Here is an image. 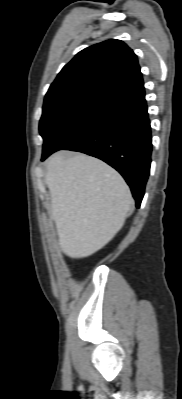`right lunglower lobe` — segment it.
<instances>
[{"label":"right lung lower lobe","instance_id":"obj_1","mask_svg":"<svg viewBox=\"0 0 182 399\" xmlns=\"http://www.w3.org/2000/svg\"><path fill=\"white\" fill-rule=\"evenodd\" d=\"M60 149L83 152L111 165L130 186L139 208L152 152L144 86L106 99L74 122L43 152L42 160Z\"/></svg>","mask_w":182,"mask_h":399}]
</instances>
